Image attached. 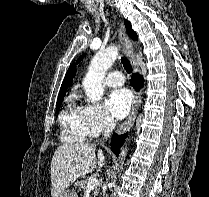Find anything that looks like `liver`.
I'll list each match as a JSON object with an SVG mask.
<instances>
[{
    "instance_id": "liver-1",
    "label": "liver",
    "mask_w": 209,
    "mask_h": 197,
    "mask_svg": "<svg viewBox=\"0 0 209 197\" xmlns=\"http://www.w3.org/2000/svg\"><path fill=\"white\" fill-rule=\"evenodd\" d=\"M96 144L73 143L60 145L51 161V197L68 188L79 177L102 168L105 156L101 149L95 155Z\"/></svg>"
}]
</instances>
